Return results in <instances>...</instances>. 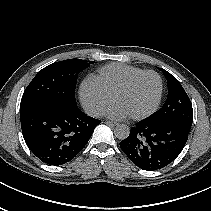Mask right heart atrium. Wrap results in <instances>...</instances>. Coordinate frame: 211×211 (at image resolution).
<instances>
[{
    "instance_id": "1",
    "label": "right heart atrium",
    "mask_w": 211,
    "mask_h": 211,
    "mask_svg": "<svg viewBox=\"0 0 211 211\" xmlns=\"http://www.w3.org/2000/svg\"><path fill=\"white\" fill-rule=\"evenodd\" d=\"M80 99L90 114L100 115L110 103L111 94L94 78H87L80 86Z\"/></svg>"
}]
</instances>
